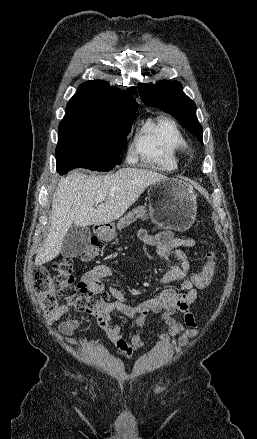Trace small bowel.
I'll list each match as a JSON object with an SVG mask.
<instances>
[{
	"label": "small bowel",
	"instance_id": "obj_1",
	"mask_svg": "<svg viewBox=\"0 0 257 439\" xmlns=\"http://www.w3.org/2000/svg\"><path fill=\"white\" fill-rule=\"evenodd\" d=\"M139 238L145 244L155 247L157 255L168 264L167 271L161 279L163 284L174 282L181 283L182 291L176 292L172 288L162 290L157 296L145 300L135 306L126 304L124 294L115 287L110 291L115 297L102 311L93 313L99 328L106 334L116 348L117 354L124 359H131L133 355L143 349L140 330L151 314L161 313L160 320L166 325L167 331L157 335V349L164 351L170 344L172 337L178 336L177 344L184 347L196 335V323L189 313V306L197 297V287L188 278L190 261L182 248H192L196 242L192 238L177 237L171 231H139ZM111 275V270L106 265H98L85 273L79 283L82 288L89 291L100 292L104 290L103 280ZM69 307L62 305L48 317L52 323L69 312ZM116 312L124 314L130 320L129 331L131 336L126 338V333L121 326L114 322L112 315ZM175 313L184 315V323L174 319ZM80 325L77 319H68L59 325V330L67 338L68 343L78 346L79 343L70 336Z\"/></svg>",
	"mask_w": 257,
	"mask_h": 439
}]
</instances>
